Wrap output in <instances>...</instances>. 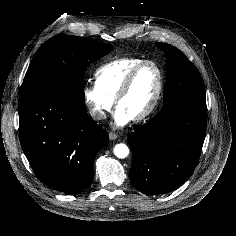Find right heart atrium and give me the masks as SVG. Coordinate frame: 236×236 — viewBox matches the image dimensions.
Returning <instances> with one entry per match:
<instances>
[{"label":"right heart atrium","instance_id":"obj_1","mask_svg":"<svg viewBox=\"0 0 236 236\" xmlns=\"http://www.w3.org/2000/svg\"><path fill=\"white\" fill-rule=\"evenodd\" d=\"M82 95L90 116L96 121L106 119L113 107L114 100L106 96L96 82L86 84Z\"/></svg>","mask_w":236,"mask_h":236}]
</instances>
